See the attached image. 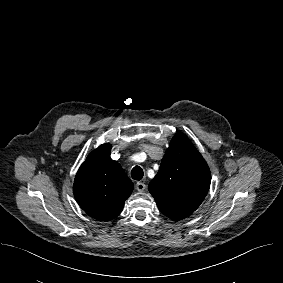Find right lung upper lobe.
<instances>
[{
    "mask_svg": "<svg viewBox=\"0 0 283 283\" xmlns=\"http://www.w3.org/2000/svg\"><path fill=\"white\" fill-rule=\"evenodd\" d=\"M109 143L92 151L79 168L73 193L92 218L109 221L117 217L133 190V183L119 163L110 157Z\"/></svg>",
    "mask_w": 283,
    "mask_h": 283,
    "instance_id": "obj_1",
    "label": "right lung upper lobe"
}]
</instances>
